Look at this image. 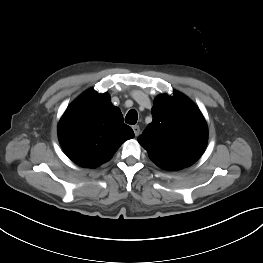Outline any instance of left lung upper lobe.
Listing matches in <instances>:
<instances>
[{
    "label": "left lung upper lobe",
    "mask_w": 263,
    "mask_h": 263,
    "mask_svg": "<svg viewBox=\"0 0 263 263\" xmlns=\"http://www.w3.org/2000/svg\"><path fill=\"white\" fill-rule=\"evenodd\" d=\"M151 113L153 121L138 138L150 159L166 170L196 162L208 139L207 124L199 108L175 91L173 96H158Z\"/></svg>",
    "instance_id": "obj_1"
}]
</instances>
